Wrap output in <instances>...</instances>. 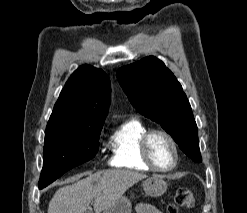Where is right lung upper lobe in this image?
Segmentation results:
<instances>
[{
    "mask_svg": "<svg viewBox=\"0 0 247 213\" xmlns=\"http://www.w3.org/2000/svg\"><path fill=\"white\" fill-rule=\"evenodd\" d=\"M110 80L101 69L79 67L63 88L47 127L103 126L110 104Z\"/></svg>",
    "mask_w": 247,
    "mask_h": 213,
    "instance_id": "cb5924a9",
    "label": "right lung upper lobe"
}]
</instances>
